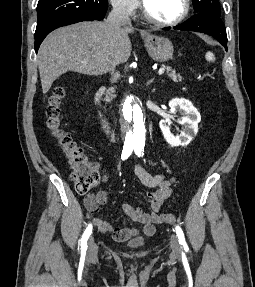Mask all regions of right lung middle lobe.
<instances>
[{"mask_svg": "<svg viewBox=\"0 0 255 287\" xmlns=\"http://www.w3.org/2000/svg\"><path fill=\"white\" fill-rule=\"evenodd\" d=\"M108 8V0H39L37 23L66 15H82L102 20Z\"/></svg>", "mask_w": 255, "mask_h": 287, "instance_id": "dd1d6c3e", "label": "right lung middle lobe"}]
</instances>
